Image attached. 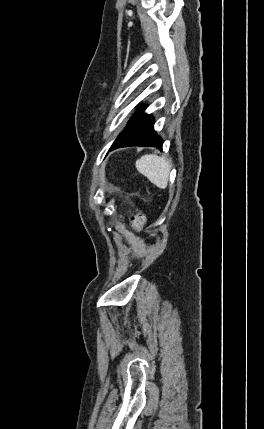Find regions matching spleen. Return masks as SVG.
I'll return each instance as SVG.
<instances>
[{"label": "spleen", "mask_w": 264, "mask_h": 429, "mask_svg": "<svg viewBox=\"0 0 264 429\" xmlns=\"http://www.w3.org/2000/svg\"><path fill=\"white\" fill-rule=\"evenodd\" d=\"M136 169L158 188L167 187L171 163L164 156L146 154L136 161Z\"/></svg>", "instance_id": "obj_1"}]
</instances>
